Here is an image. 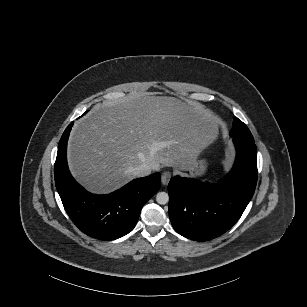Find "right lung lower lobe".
Instances as JSON below:
<instances>
[{"label":"right lung lower lobe","mask_w":307,"mask_h":307,"mask_svg":"<svg viewBox=\"0 0 307 307\" xmlns=\"http://www.w3.org/2000/svg\"><path fill=\"white\" fill-rule=\"evenodd\" d=\"M73 122L64 131L54 166L55 184L63 206L74 224L85 234L113 240L136 225L143 205L159 190L161 175L131 181L107 195L87 192L71 176L67 165V141Z\"/></svg>","instance_id":"98d812e1"}]
</instances>
